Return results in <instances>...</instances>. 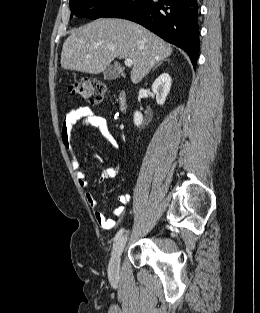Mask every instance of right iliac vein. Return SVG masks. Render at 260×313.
Instances as JSON below:
<instances>
[{"mask_svg":"<svg viewBox=\"0 0 260 313\" xmlns=\"http://www.w3.org/2000/svg\"><path fill=\"white\" fill-rule=\"evenodd\" d=\"M127 241V234L122 235L114 244L111 259L108 266V274L111 279H116L119 276L120 256Z\"/></svg>","mask_w":260,"mask_h":313,"instance_id":"right-iliac-vein-1","label":"right iliac vein"}]
</instances>
